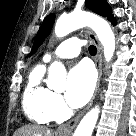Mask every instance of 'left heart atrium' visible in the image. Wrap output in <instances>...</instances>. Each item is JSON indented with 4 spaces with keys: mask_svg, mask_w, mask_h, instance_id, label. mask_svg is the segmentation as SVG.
<instances>
[{
    "mask_svg": "<svg viewBox=\"0 0 136 136\" xmlns=\"http://www.w3.org/2000/svg\"><path fill=\"white\" fill-rule=\"evenodd\" d=\"M95 72L89 63L77 64L69 73L66 100L70 106L79 108L87 103L95 87Z\"/></svg>",
    "mask_w": 136,
    "mask_h": 136,
    "instance_id": "left-heart-atrium-1",
    "label": "left heart atrium"
}]
</instances>
